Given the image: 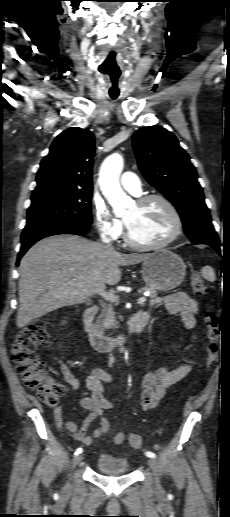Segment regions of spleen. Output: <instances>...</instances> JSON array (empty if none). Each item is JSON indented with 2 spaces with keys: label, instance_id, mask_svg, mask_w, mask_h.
Instances as JSON below:
<instances>
[{
  "label": "spleen",
  "instance_id": "1",
  "mask_svg": "<svg viewBox=\"0 0 230 517\" xmlns=\"http://www.w3.org/2000/svg\"><path fill=\"white\" fill-rule=\"evenodd\" d=\"M201 274L204 279H206L210 282H214L216 279L215 272H214L213 268L210 266L203 267L201 270Z\"/></svg>",
  "mask_w": 230,
  "mask_h": 517
}]
</instances>
